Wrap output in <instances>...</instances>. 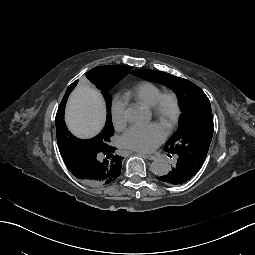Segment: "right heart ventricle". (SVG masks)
<instances>
[{"mask_svg":"<svg viewBox=\"0 0 255 255\" xmlns=\"http://www.w3.org/2000/svg\"><path fill=\"white\" fill-rule=\"evenodd\" d=\"M161 92L162 89L157 84L145 81L139 83L133 90L127 92L124 98L126 101L134 100L151 108Z\"/></svg>","mask_w":255,"mask_h":255,"instance_id":"1","label":"right heart ventricle"}]
</instances>
